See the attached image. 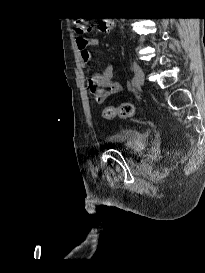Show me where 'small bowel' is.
Instances as JSON below:
<instances>
[{
    "label": "small bowel",
    "mask_w": 205,
    "mask_h": 273,
    "mask_svg": "<svg viewBox=\"0 0 205 273\" xmlns=\"http://www.w3.org/2000/svg\"><path fill=\"white\" fill-rule=\"evenodd\" d=\"M76 44L81 61L88 63L91 60V53L88 48L90 46H96L98 39L79 36L76 38ZM113 74V66L107 64L101 72L90 74L87 77L89 91L97 104H103L111 95L117 94L122 90L121 83L113 79Z\"/></svg>",
    "instance_id": "c3829d8e"
}]
</instances>
